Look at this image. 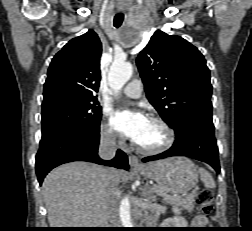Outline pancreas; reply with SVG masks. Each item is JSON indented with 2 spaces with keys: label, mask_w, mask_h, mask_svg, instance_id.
I'll return each instance as SVG.
<instances>
[{
  "label": "pancreas",
  "mask_w": 252,
  "mask_h": 231,
  "mask_svg": "<svg viewBox=\"0 0 252 231\" xmlns=\"http://www.w3.org/2000/svg\"><path fill=\"white\" fill-rule=\"evenodd\" d=\"M153 191L158 194L165 195L164 193L159 192L158 186H155ZM196 197H197V194L192 193V194H188L185 197H181L178 199H165V201L170 203L174 207H181L182 209H185V210H193V208L195 206L194 202H195Z\"/></svg>",
  "instance_id": "1"
}]
</instances>
